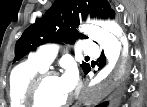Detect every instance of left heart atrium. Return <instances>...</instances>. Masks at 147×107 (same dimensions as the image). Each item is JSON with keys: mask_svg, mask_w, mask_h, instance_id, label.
<instances>
[{"mask_svg": "<svg viewBox=\"0 0 147 107\" xmlns=\"http://www.w3.org/2000/svg\"><path fill=\"white\" fill-rule=\"evenodd\" d=\"M60 80L64 90L70 94L77 83L76 72L73 69H69L60 77Z\"/></svg>", "mask_w": 147, "mask_h": 107, "instance_id": "39dd6f15", "label": "left heart atrium"}]
</instances>
